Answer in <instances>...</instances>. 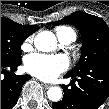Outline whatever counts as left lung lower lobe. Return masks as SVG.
Segmentation results:
<instances>
[{"label":"left lung lower lobe","instance_id":"obj_1","mask_svg":"<svg viewBox=\"0 0 109 109\" xmlns=\"http://www.w3.org/2000/svg\"><path fill=\"white\" fill-rule=\"evenodd\" d=\"M64 77L72 78L71 88L62 85L64 96L52 103L54 109H98L109 96V62H97Z\"/></svg>","mask_w":109,"mask_h":109}]
</instances>
